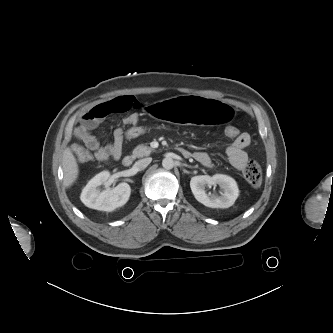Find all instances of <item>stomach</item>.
I'll use <instances>...</instances> for the list:
<instances>
[{
    "instance_id": "1",
    "label": "stomach",
    "mask_w": 333,
    "mask_h": 333,
    "mask_svg": "<svg viewBox=\"0 0 333 333\" xmlns=\"http://www.w3.org/2000/svg\"><path fill=\"white\" fill-rule=\"evenodd\" d=\"M144 113L150 119L161 122L227 127L237 117L235 107L227 102L217 101L205 95L170 96L148 101Z\"/></svg>"
}]
</instances>
